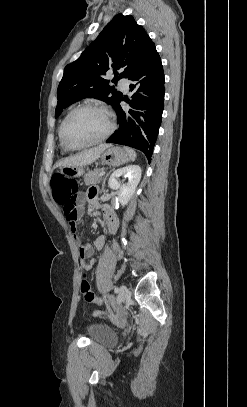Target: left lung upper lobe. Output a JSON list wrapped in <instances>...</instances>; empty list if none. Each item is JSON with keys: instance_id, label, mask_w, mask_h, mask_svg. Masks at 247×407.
Wrapping results in <instances>:
<instances>
[{"instance_id": "1", "label": "left lung upper lobe", "mask_w": 247, "mask_h": 407, "mask_svg": "<svg viewBox=\"0 0 247 407\" xmlns=\"http://www.w3.org/2000/svg\"><path fill=\"white\" fill-rule=\"evenodd\" d=\"M154 49L151 38L133 16L116 15L80 58L65 67L58 86L55 117L64 108L85 97L98 98L115 108L123 95L109 86L104 75L113 71L112 82L129 79Z\"/></svg>"}]
</instances>
